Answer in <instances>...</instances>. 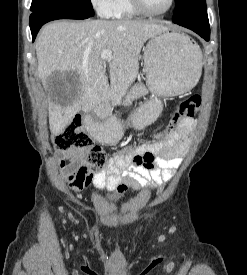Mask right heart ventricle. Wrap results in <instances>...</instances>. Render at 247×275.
Returning a JSON list of instances; mask_svg holds the SVG:
<instances>
[{"label": "right heart ventricle", "instance_id": "obj_1", "mask_svg": "<svg viewBox=\"0 0 247 275\" xmlns=\"http://www.w3.org/2000/svg\"><path fill=\"white\" fill-rule=\"evenodd\" d=\"M141 15L142 13L134 7L131 0H114L109 17L115 19H129L139 17Z\"/></svg>", "mask_w": 247, "mask_h": 275}]
</instances>
